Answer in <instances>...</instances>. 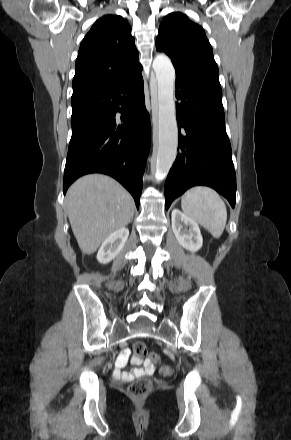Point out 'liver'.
<instances>
[{
  "instance_id": "obj_1",
  "label": "liver",
  "mask_w": 291,
  "mask_h": 440,
  "mask_svg": "<svg viewBox=\"0 0 291 440\" xmlns=\"http://www.w3.org/2000/svg\"><path fill=\"white\" fill-rule=\"evenodd\" d=\"M65 204L78 245L88 255L96 252L112 233L128 225L134 215V201L128 191L101 174L75 181Z\"/></svg>"
}]
</instances>
